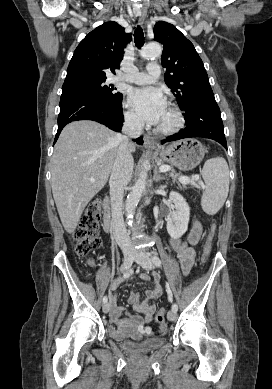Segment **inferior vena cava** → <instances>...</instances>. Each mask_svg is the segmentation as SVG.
I'll use <instances>...</instances> for the list:
<instances>
[{
  "mask_svg": "<svg viewBox=\"0 0 272 389\" xmlns=\"http://www.w3.org/2000/svg\"><path fill=\"white\" fill-rule=\"evenodd\" d=\"M142 127L143 122L136 117L131 115L125 117L122 127L123 135H119V148L109 180L113 235L124 254L134 252L122 214L124 190L131 180L134 166L129 149V139L139 137Z\"/></svg>",
  "mask_w": 272,
  "mask_h": 389,
  "instance_id": "602c4592",
  "label": "inferior vena cava"
}]
</instances>
